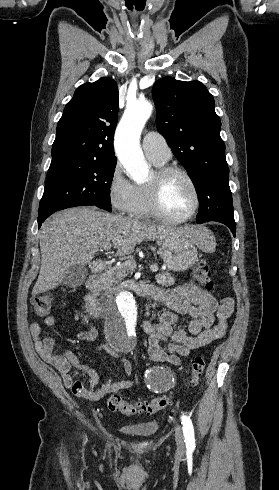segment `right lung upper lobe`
Here are the masks:
<instances>
[{"label": "right lung upper lobe", "instance_id": "1", "mask_svg": "<svg viewBox=\"0 0 279 490\" xmlns=\"http://www.w3.org/2000/svg\"><path fill=\"white\" fill-rule=\"evenodd\" d=\"M118 87L111 78L78 87L58 122L51 164L82 158H116L113 136Z\"/></svg>", "mask_w": 279, "mask_h": 490}]
</instances>
